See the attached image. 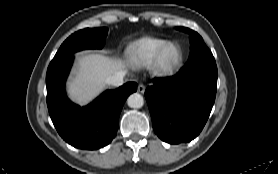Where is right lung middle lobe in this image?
<instances>
[{
  "mask_svg": "<svg viewBox=\"0 0 278 174\" xmlns=\"http://www.w3.org/2000/svg\"><path fill=\"white\" fill-rule=\"evenodd\" d=\"M107 34L108 28L105 27L77 31L63 42L51 62H56L83 49H101L105 44Z\"/></svg>",
  "mask_w": 278,
  "mask_h": 174,
  "instance_id": "dd1d6c3e",
  "label": "right lung middle lobe"
}]
</instances>
